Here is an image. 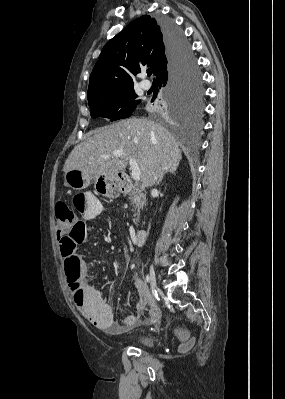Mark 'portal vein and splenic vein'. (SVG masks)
I'll use <instances>...</instances> for the list:
<instances>
[{
  "label": "portal vein and splenic vein",
  "mask_w": 285,
  "mask_h": 399,
  "mask_svg": "<svg viewBox=\"0 0 285 399\" xmlns=\"http://www.w3.org/2000/svg\"><path fill=\"white\" fill-rule=\"evenodd\" d=\"M123 155L122 151H116L113 153V157H121ZM110 156H103V158L107 159ZM129 165H130V169H131V177L134 181H139L140 180V168L137 164V162L133 159L129 160Z\"/></svg>",
  "instance_id": "obj_1"
}]
</instances>
